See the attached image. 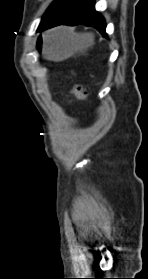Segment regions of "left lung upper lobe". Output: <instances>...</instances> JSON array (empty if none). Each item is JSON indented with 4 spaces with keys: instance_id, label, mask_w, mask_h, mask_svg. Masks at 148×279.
Masks as SVG:
<instances>
[{
    "instance_id": "obj_1",
    "label": "left lung upper lobe",
    "mask_w": 148,
    "mask_h": 279,
    "mask_svg": "<svg viewBox=\"0 0 148 279\" xmlns=\"http://www.w3.org/2000/svg\"><path fill=\"white\" fill-rule=\"evenodd\" d=\"M65 0H56L48 8L47 12L44 14L42 20L49 16L55 9H57Z\"/></svg>"
}]
</instances>
